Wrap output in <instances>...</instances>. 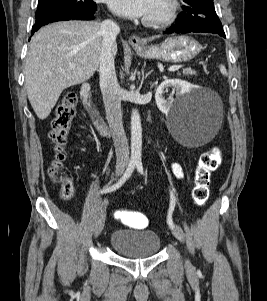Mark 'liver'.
<instances>
[{
  "instance_id": "6515ba94",
  "label": "liver",
  "mask_w": 267,
  "mask_h": 301,
  "mask_svg": "<svg viewBox=\"0 0 267 301\" xmlns=\"http://www.w3.org/2000/svg\"><path fill=\"white\" fill-rule=\"evenodd\" d=\"M99 30L97 21H66L49 24L34 35L24 74L28 99L39 119L49 116L64 89L95 74L102 46ZM112 53H117L116 43Z\"/></svg>"
}]
</instances>
